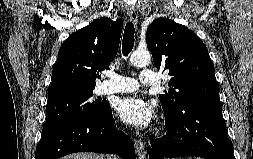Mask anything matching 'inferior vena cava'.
<instances>
[{
	"mask_svg": "<svg viewBox=\"0 0 253 159\" xmlns=\"http://www.w3.org/2000/svg\"><path fill=\"white\" fill-rule=\"evenodd\" d=\"M108 159H118V158L115 155H110V156H108Z\"/></svg>",
	"mask_w": 253,
	"mask_h": 159,
	"instance_id": "inferior-vena-cava-1",
	"label": "inferior vena cava"
}]
</instances>
